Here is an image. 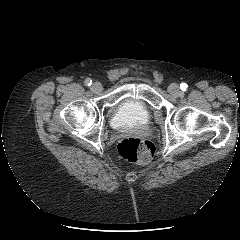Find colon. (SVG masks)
Instances as JSON below:
<instances>
[{
	"label": "colon",
	"mask_w": 240,
	"mask_h": 240,
	"mask_svg": "<svg viewBox=\"0 0 240 240\" xmlns=\"http://www.w3.org/2000/svg\"><path fill=\"white\" fill-rule=\"evenodd\" d=\"M119 154L129 162L145 164L155 153L152 142L139 137H125L117 144Z\"/></svg>",
	"instance_id": "colon-1"
}]
</instances>
